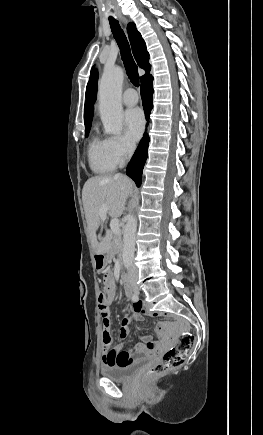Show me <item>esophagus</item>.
Instances as JSON below:
<instances>
[{
    "label": "esophagus",
    "mask_w": 263,
    "mask_h": 435,
    "mask_svg": "<svg viewBox=\"0 0 263 435\" xmlns=\"http://www.w3.org/2000/svg\"><path fill=\"white\" fill-rule=\"evenodd\" d=\"M123 22H124L125 24L127 23V21H126L125 19L123 20Z\"/></svg>",
    "instance_id": "esophagus-1"
}]
</instances>
